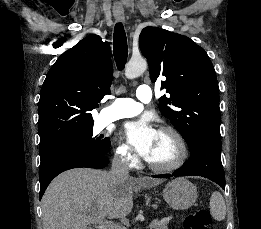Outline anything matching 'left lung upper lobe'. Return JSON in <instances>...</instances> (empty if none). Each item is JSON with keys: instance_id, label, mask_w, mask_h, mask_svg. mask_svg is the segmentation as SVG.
I'll return each mask as SVG.
<instances>
[{"instance_id": "obj_1", "label": "left lung upper lobe", "mask_w": 261, "mask_h": 229, "mask_svg": "<svg viewBox=\"0 0 261 229\" xmlns=\"http://www.w3.org/2000/svg\"><path fill=\"white\" fill-rule=\"evenodd\" d=\"M139 45L151 81L167 78L161 81L168 96L159 99L160 111L189 148L201 138L220 140L219 88L205 50L186 36L152 26L142 30Z\"/></svg>"}]
</instances>
